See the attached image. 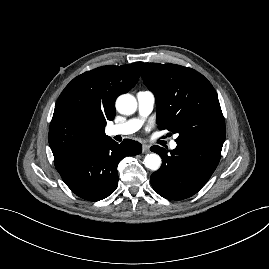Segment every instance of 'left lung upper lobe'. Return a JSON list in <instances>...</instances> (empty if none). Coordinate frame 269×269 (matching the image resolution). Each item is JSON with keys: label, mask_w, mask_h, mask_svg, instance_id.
<instances>
[{"label": "left lung upper lobe", "mask_w": 269, "mask_h": 269, "mask_svg": "<svg viewBox=\"0 0 269 269\" xmlns=\"http://www.w3.org/2000/svg\"><path fill=\"white\" fill-rule=\"evenodd\" d=\"M141 77L155 95L159 129L177 133L175 141H225L217 94L202 74L170 63H145Z\"/></svg>", "instance_id": "obj_1"}]
</instances>
